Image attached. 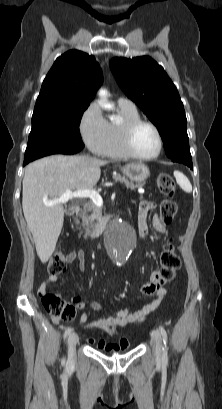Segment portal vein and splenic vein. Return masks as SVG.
I'll use <instances>...</instances> for the list:
<instances>
[{"label": "portal vein and splenic vein", "instance_id": "18ae733b", "mask_svg": "<svg viewBox=\"0 0 222 409\" xmlns=\"http://www.w3.org/2000/svg\"><path fill=\"white\" fill-rule=\"evenodd\" d=\"M139 192L143 193L144 191L140 190ZM72 198H90L93 201V203L97 206H101L103 204L102 197L95 190H76V191L67 190L56 200L46 201L45 205L53 206L58 203H66L68 200Z\"/></svg>", "mask_w": 222, "mask_h": 409}]
</instances>
